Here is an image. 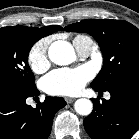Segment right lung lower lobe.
Segmentation results:
<instances>
[{
	"mask_svg": "<svg viewBox=\"0 0 139 139\" xmlns=\"http://www.w3.org/2000/svg\"><path fill=\"white\" fill-rule=\"evenodd\" d=\"M39 91L25 93L0 87V139H47L55 113L66 105L61 97H46L36 108L26 104L28 97Z\"/></svg>",
	"mask_w": 139,
	"mask_h": 139,
	"instance_id": "obj_1",
	"label": "right lung lower lobe"
}]
</instances>
